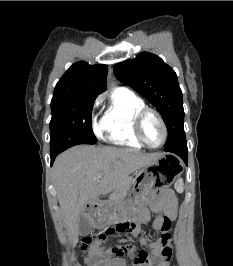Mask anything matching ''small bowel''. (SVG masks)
<instances>
[{
	"label": "small bowel",
	"mask_w": 233,
	"mask_h": 266,
	"mask_svg": "<svg viewBox=\"0 0 233 266\" xmlns=\"http://www.w3.org/2000/svg\"><path fill=\"white\" fill-rule=\"evenodd\" d=\"M177 203L171 192H167L163 198L154 202L151 205V211L153 213H163V216L168 218L170 225L168 228H163L161 218L157 217L153 221V228L156 233V239L148 243L147 240L140 235L139 227L132 232L135 236L139 237L141 248L136 249L132 247V251L144 254L149 258H156L158 261L151 265L148 261L132 263L126 262L123 258L114 256L112 254L111 247H103L102 243H95L90 246L89 251L85 257V264L87 266H169L168 261L171 258V232L172 222L176 217ZM149 219L148 211L141 207L138 214L135 216L136 222H145Z\"/></svg>",
	"instance_id": "c3829d8e"
}]
</instances>
